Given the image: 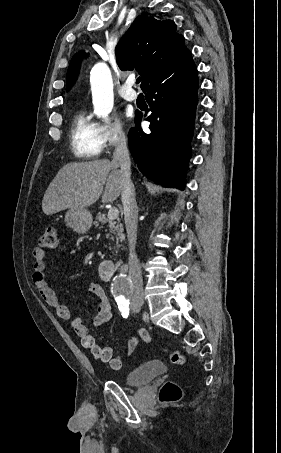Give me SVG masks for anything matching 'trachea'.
<instances>
[{
	"label": "trachea",
	"instance_id": "obj_1",
	"mask_svg": "<svg viewBox=\"0 0 281 453\" xmlns=\"http://www.w3.org/2000/svg\"><path fill=\"white\" fill-rule=\"evenodd\" d=\"M140 81H141V78L138 77V78L136 79V83L138 84V83H140Z\"/></svg>",
	"mask_w": 281,
	"mask_h": 453
}]
</instances>
